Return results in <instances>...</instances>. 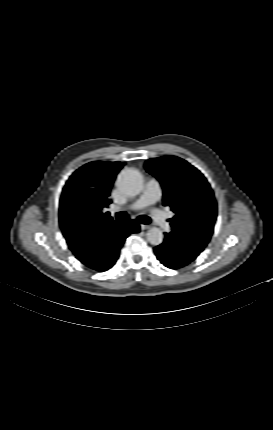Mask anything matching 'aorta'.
I'll list each match as a JSON object with an SVG mask.
<instances>
[{
  "label": "aorta",
  "instance_id": "aorta-1",
  "mask_svg": "<svg viewBox=\"0 0 273 430\" xmlns=\"http://www.w3.org/2000/svg\"><path fill=\"white\" fill-rule=\"evenodd\" d=\"M117 188L125 195L134 197L138 195L143 186L142 174L136 169H125L117 177ZM147 240L152 245L163 242V233L159 228L153 227L147 232Z\"/></svg>",
  "mask_w": 273,
  "mask_h": 430
}]
</instances>
